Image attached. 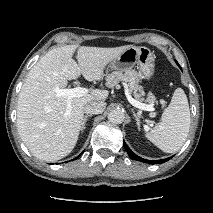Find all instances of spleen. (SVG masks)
<instances>
[{
  "label": "spleen",
  "mask_w": 213,
  "mask_h": 213,
  "mask_svg": "<svg viewBox=\"0 0 213 213\" xmlns=\"http://www.w3.org/2000/svg\"><path fill=\"white\" fill-rule=\"evenodd\" d=\"M190 128V110L183 89L177 88L160 122L145 136L166 153L178 151L185 143Z\"/></svg>",
  "instance_id": "obj_1"
}]
</instances>
